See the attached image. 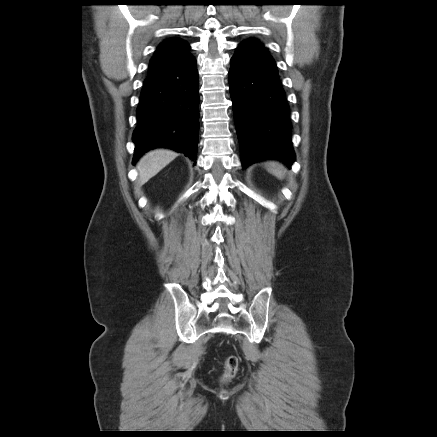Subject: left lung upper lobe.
Wrapping results in <instances>:
<instances>
[{
	"label": "left lung upper lobe",
	"instance_id": "left-lung-upper-lobe-1",
	"mask_svg": "<svg viewBox=\"0 0 437 437\" xmlns=\"http://www.w3.org/2000/svg\"><path fill=\"white\" fill-rule=\"evenodd\" d=\"M242 43H245V44H247L248 46L253 47L254 49L260 51V52L263 53V54H264V55H265L269 60H271L274 64H276L275 61L273 60V58L270 56V54H269V52L267 51V49L264 48V45H263L260 41L254 39V38H249V39L243 41Z\"/></svg>",
	"mask_w": 437,
	"mask_h": 437
}]
</instances>
